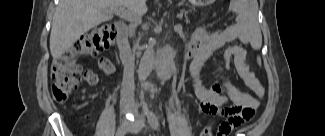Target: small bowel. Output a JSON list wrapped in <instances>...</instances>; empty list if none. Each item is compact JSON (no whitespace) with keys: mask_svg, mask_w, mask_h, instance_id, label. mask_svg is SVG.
Listing matches in <instances>:
<instances>
[{"mask_svg":"<svg viewBox=\"0 0 325 136\" xmlns=\"http://www.w3.org/2000/svg\"><path fill=\"white\" fill-rule=\"evenodd\" d=\"M255 40L254 30L248 27L242 18H238L234 25L218 32L204 28L198 29L191 37V44L197 48V53L191 63L190 78L195 96L199 101V111L209 118L214 116L224 118L218 131L220 136H226L233 128L249 122L255 115L260 99L264 96V87L246 65L245 50L240 45L252 44ZM232 42L240 44L229 45L226 48L223 55L224 74L221 82L210 87L203 86L199 77L200 68L212 54ZM97 64L101 74L92 70H87L85 73V80L90 86L97 85L102 76L115 73L114 64L106 57H98ZM232 64L254 96L241 92L233 85L227 75Z\"/></svg>","mask_w":325,"mask_h":136,"instance_id":"c3829d8e","label":"small bowel"}]
</instances>
